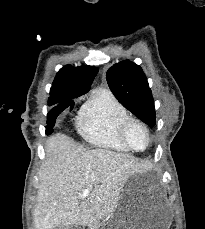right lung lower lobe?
<instances>
[{
    "label": "right lung lower lobe",
    "instance_id": "1",
    "mask_svg": "<svg viewBox=\"0 0 205 229\" xmlns=\"http://www.w3.org/2000/svg\"><path fill=\"white\" fill-rule=\"evenodd\" d=\"M67 107H70V110L74 107L73 100H68L62 103H59L56 107H54L47 115V126H46V134H51L53 132V127L55 125L56 117Z\"/></svg>",
    "mask_w": 205,
    "mask_h": 229
}]
</instances>
